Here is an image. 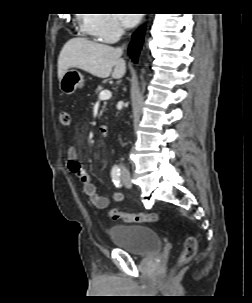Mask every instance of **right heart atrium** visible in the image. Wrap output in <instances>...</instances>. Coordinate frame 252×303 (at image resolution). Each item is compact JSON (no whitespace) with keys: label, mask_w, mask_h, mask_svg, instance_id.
Instances as JSON below:
<instances>
[{"label":"right heart atrium","mask_w":252,"mask_h":303,"mask_svg":"<svg viewBox=\"0 0 252 303\" xmlns=\"http://www.w3.org/2000/svg\"><path fill=\"white\" fill-rule=\"evenodd\" d=\"M84 27L105 43H115L124 30L113 14H86Z\"/></svg>","instance_id":"1"}]
</instances>
